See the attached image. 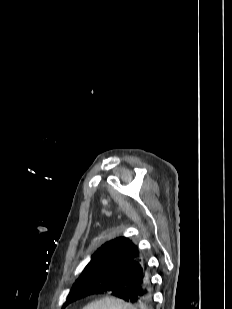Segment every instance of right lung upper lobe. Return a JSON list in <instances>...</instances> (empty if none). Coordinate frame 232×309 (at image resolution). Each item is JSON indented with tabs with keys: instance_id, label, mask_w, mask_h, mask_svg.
Wrapping results in <instances>:
<instances>
[{
	"instance_id": "right-lung-upper-lobe-1",
	"label": "right lung upper lobe",
	"mask_w": 232,
	"mask_h": 309,
	"mask_svg": "<svg viewBox=\"0 0 232 309\" xmlns=\"http://www.w3.org/2000/svg\"><path fill=\"white\" fill-rule=\"evenodd\" d=\"M140 261L138 247L130 239L118 237L97 249L80 276L97 271L117 272L118 266L123 263Z\"/></svg>"
}]
</instances>
